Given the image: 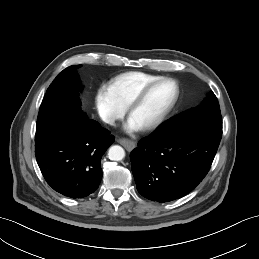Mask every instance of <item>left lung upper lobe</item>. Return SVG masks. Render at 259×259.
Masks as SVG:
<instances>
[{"label": "left lung upper lobe", "instance_id": "1", "mask_svg": "<svg viewBox=\"0 0 259 259\" xmlns=\"http://www.w3.org/2000/svg\"><path fill=\"white\" fill-rule=\"evenodd\" d=\"M221 112L218 100L215 94L211 91L207 100L199 107L189 109L181 114H178L170 120L160 125L152 134L158 135L174 127L184 121L191 119H203L210 121H221Z\"/></svg>", "mask_w": 259, "mask_h": 259}]
</instances>
